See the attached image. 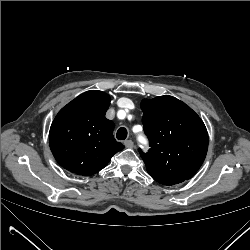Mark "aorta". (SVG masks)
I'll list each match as a JSON object with an SVG mask.
<instances>
[{
	"label": "aorta",
	"mask_w": 250,
	"mask_h": 250,
	"mask_svg": "<svg viewBox=\"0 0 250 250\" xmlns=\"http://www.w3.org/2000/svg\"><path fill=\"white\" fill-rule=\"evenodd\" d=\"M143 142H145V140L144 139H141Z\"/></svg>",
	"instance_id": "aorta-1"
}]
</instances>
